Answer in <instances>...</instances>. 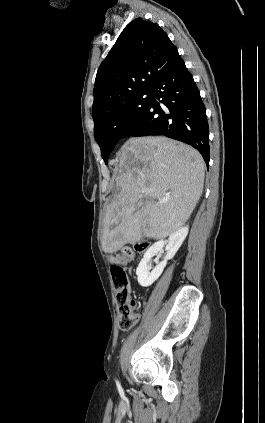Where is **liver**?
<instances>
[{
    "label": "liver",
    "mask_w": 265,
    "mask_h": 423,
    "mask_svg": "<svg viewBox=\"0 0 265 423\" xmlns=\"http://www.w3.org/2000/svg\"><path fill=\"white\" fill-rule=\"evenodd\" d=\"M115 167L117 192L107 208L102 236L106 253L144 237L171 235L187 222L203 192L201 154L167 137L128 139ZM163 198L168 201L156 203Z\"/></svg>",
    "instance_id": "1"
}]
</instances>
